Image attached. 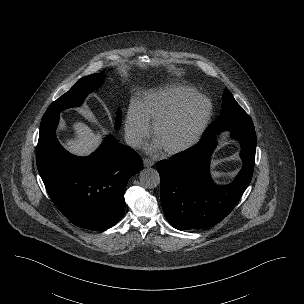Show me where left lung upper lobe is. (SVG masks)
Segmentation results:
<instances>
[{
  "mask_svg": "<svg viewBox=\"0 0 304 304\" xmlns=\"http://www.w3.org/2000/svg\"><path fill=\"white\" fill-rule=\"evenodd\" d=\"M233 128L254 129L250 116L236 102L232 94L225 89L221 113L207 129L205 134L215 133Z\"/></svg>",
  "mask_w": 304,
  "mask_h": 304,
  "instance_id": "1",
  "label": "left lung upper lobe"
}]
</instances>
